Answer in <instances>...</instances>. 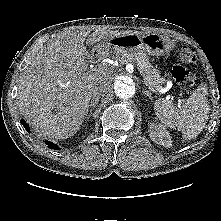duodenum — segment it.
<instances>
[{
  "label": "duodenum",
  "mask_w": 221,
  "mask_h": 221,
  "mask_svg": "<svg viewBox=\"0 0 221 221\" xmlns=\"http://www.w3.org/2000/svg\"><path fill=\"white\" fill-rule=\"evenodd\" d=\"M99 58V53L98 52H94L93 54H92V59L93 60H96V59H98Z\"/></svg>",
  "instance_id": "obj_1"
}]
</instances>
